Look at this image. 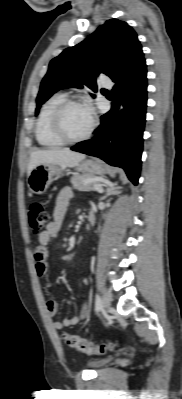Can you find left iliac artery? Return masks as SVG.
Instances as JSON below:
<instances>
[{"label": "left iliac artery", "instance_id": "left-iliac-artery-1", "mask_svg": "<svg viewBox=\"0 0 182 399\" xmlns=\"http://www.w3.org/2000/svg\"><path fill=\"white\" fill-rule=\"evenodd\" d=\"M102 307H103V304H102L101 297H100L99 294H96V296H95V310H96V312H99L102 309Z\"/></svg>", "mask_w": 182, "mask_h": 399}]
</instances>
